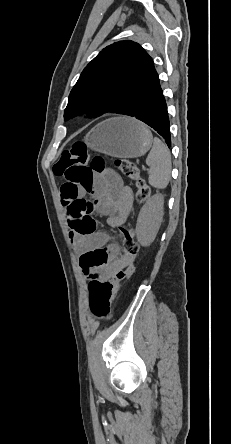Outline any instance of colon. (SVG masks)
<instances>
[{
    "instance_id": "5ec220e1",
    "label": "colon",
    "mask_w": 231,
    "mask_h": 444,
    "mask_svg": "<svg viewBox=\"0 0 231 444\" xmlns=\"http://www.w3.org/2000/svg\"><path fill=\"white\" fill-rule=\"evenodd\" d=\"M115 165L126 178L135 181L137 201L140 203L145 201L150 195V188L141 177L137 165L125 158L117 159ZM103 169L102 159L95 157L89 161L85 144L77 142L63 152L54 165L53 172L57 177L65 179L66 185L76 189L91 187L95 174L102 172ZM91 210V203L83 199L74 201L70 206V214L74 218V230L82 236L91 235L95 231L96 222L91 216ZM120 229L125 266L108 278L92 280L89 285L92 313L102 319L110 316L112 302L120 284L134 273L139 252L134 230L129 226Z\"/></svg>"
}]
</instances>
